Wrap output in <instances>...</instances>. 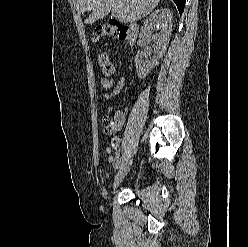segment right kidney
<instances>
[{
	"label": "right kidney",
	"instance_id": "1",
	"mask_svg": "<svg viewBox=\"0 0 248 247\" xmlns=\"http://www.w3.org/2000/svg\"><path fill=\"white\" fill-rule=\"evenodd\" d=\"M173 13L170 9L162 8L155 10L145 19L139 34L143 43L153 41L152 60H148L144 55H136L135 67L140 79H144L151 69L158 65L159 60L165 54L172 31ZM159 31L158 33H153Z\"/></svg>",
	"mask_w": 248,
	"mask_h": 247
}]
</instances>
